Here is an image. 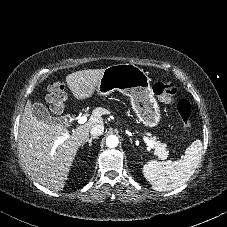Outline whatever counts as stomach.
Segmentation results:
<instances>
[{"label":"stomach","instance_id":"1","mask_svg":"<svg viewBox=\"0 0 227 227\" xmlns=\"http://www.w3.org/2000/svg\"><path fill=\"white\" fill-rule=\"evenodd\" d=\"M150 82L148 74L135 64H116L104 69L96 91L107 96L117 90L128 96L139 121L145 126L155 127L161 116Z\"/></svg>","mask_w":227,"mask_h":227}]
</instances>
